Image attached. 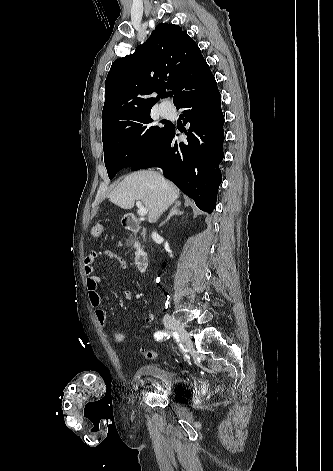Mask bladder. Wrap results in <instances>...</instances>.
<instances>
[{
	"label": "bladder",
	"mask_w": 333,
	"mask_h": 471,
	"mask_svg": "<svg viewBox=\"0 0 333 471\" xmlns=\"http://www.w3.org/2000/svg\"><path fill=\"white\" fill-rule=\"evenodd\" d=\"M135 374L156 381L164 395L170 399H182L192 393V384L178 372L155 363L140 365Z\"/></svg>",
	"instance_id": "obj_1"
}]
</instances>
